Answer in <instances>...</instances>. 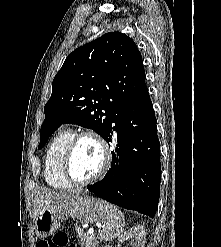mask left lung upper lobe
<instances>
[{"instance_id":"5c2ea615","label":"left lung upper lobe","mask_w":221,"mask_h":247,"mask_svg":"<svg viewBox=\"0 0 221 247\" xmlns=\"http://www.w3.org/2000/svg\"><path fill=\"white\" fill-rule=\"evenodd\" d=\"M149 98L134 41L120 32L104 34L73 51L54 77L38 148L63 123L90 128L105 139L120 109Z\"/></svg>"}]
</instances>
